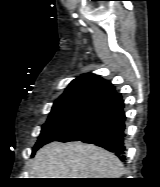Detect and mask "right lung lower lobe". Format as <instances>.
I'll use <instances>...</instances> for the list:
<instances>
[{"mask_svg": "<svg viewBox=\"0 0 160 187\" xmlns=\"http://www.w3.org/2000/svg\"><path fill=\"white\" fill-rule=\"evenodd\" d=\"M124 102L120 93H115L100 102L92 113L79 125L59 137L56 141H82L103 147L126 160L125 113Z\"/></svg>", "mask_w": 160, "mask_h": 187, "instance_id": "98d812e1", "label": "right lung lower lobe"}]
</instances>
